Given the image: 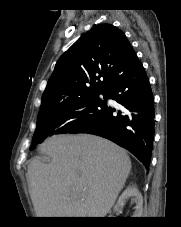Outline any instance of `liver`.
<instances>
[{
  "instance_id": "1",
  "label": "liver",
  "mask_w": 181,
  "mask_h": 227,
  "mask_svg": "<svg viewBox=\"0 0 181 227\" xmlns=\"http://www.w3.org/2000/svg\"><path fill=\"white\" fill-rule=\"evenodd\" d=\"M40 150L51 162L28 166L37 217H104L131 171L127 152L95 135L53 136Z\"/></svg>"
}]
</instances>
